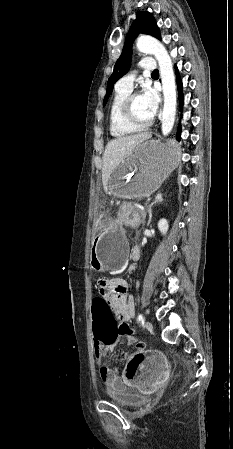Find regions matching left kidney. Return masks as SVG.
<instances>
[{
  "mask_svg": "<svg viewBox=\"0 0 233 449\" xmlns=\"http://www.w3.org/2000/svg\"><path fill=\"white\" fill-rule=\"evenodd\" d=\"M168 221L166 219H161L158 222V229L162 234H166L167 230H168Z\"/></svg>",
  "mask_w": 233,
  "mask_h": 449,
  "instance_id": "5707ae66",
  "label": "left kidney"
}]
</instances>
